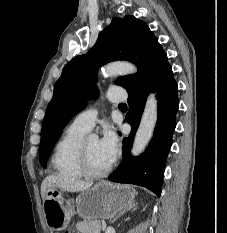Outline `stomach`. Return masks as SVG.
<instances>
[{"mask_svg":"<svg viewBox=\"0 0 227 233\" xmlns=\"http://www.w3.org/2000/svg\"><path fill=\"white\" fill-rule=\"evenodd\" d=\"M135 190L127 185L100 182L82 191L75 201L67 200L58 188L49 189L43 202L46 225L55 231L65 229L77 213L84 219H111L132 206Z\"/></svg>","mask_w":227,"mask_h":233,"instance_id":"0dacf381","label":"stomach"}]
</instances>
